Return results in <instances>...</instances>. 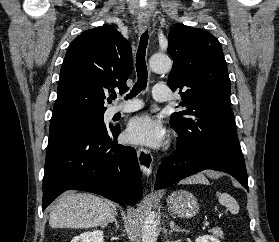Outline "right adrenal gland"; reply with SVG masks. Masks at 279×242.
Masks as SVG:
<instances>
[{"mask_svg": "<svg viewBox=\"0 0 279 242\" xmlns=\"http://www.w3.org/2000/svg\"><path fill=\"white\" fill-rule=\"evenodd\" d=\"M116 216H117V213H114V215L111 217V219L109 221H107L104 225H103V228L106 227L109 223H112L114 222L116 227L119 229V222L118 220L116 219Z\"/></svg>", "mask_w": 279, "mask_h": 242, "instance_id": "right-adrenal-gland-1", "label": "right adrenal gland"}]
</instances>
